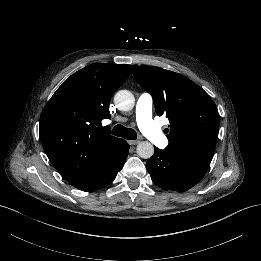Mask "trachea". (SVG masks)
<instances>
[{"label":"trachea","mask_w":261,"mask_h":261,"mask_svg":"<svg viewBox=\"0 0 261 261\" xmlns=\"http://www.w3.org/2000/svg\"><path fill=\"white\" fill-rule=\"evenodd\" d=\"M111 133L118 137H123L124 139L128 140H135L137 138V133L132 128H126L120 124L116 125Z\"/></svg>","instance_id":"1"}]
</instances>
